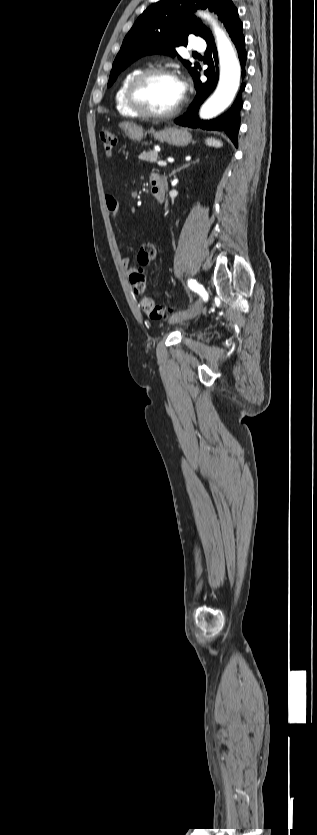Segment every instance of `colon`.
<instances>
[{
  "instance_id": "obj_1",
  "label": "colon",
  "mask_w": 317,
  "mask_h": 835,
  "mask_svg": "<svg viewBox=\"0 0 317 835\" xmlns=\"http://www.w3.org/2000/svg\"><path fill=\"white\" fill-rule=\"evenodd\" d=\"M100 139L103 145V149L107 154H111L114 150L117 137L114 132L110 130H103L100 133ZM156 257V249L155 247H151L149 252V259L153 260ZM147 264L145 262L141 263V267L135 270L134 272L130 273L129 280L131 286L136 294L143 295L147 288V275L145 272L144 267ZM140 307L142 311L147 314L151 319L157 320L165 317L167 314V309L163 305H158L155 301L149 296H142L140 298Z\"/></svg>"
}]
</instances>
